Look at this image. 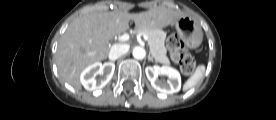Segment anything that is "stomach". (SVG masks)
Instances as JSON below:
<instances>
[{
    "mask_svg": "<svg viewBox=\"0 0 276 120\" xmlns=\"http://www.w3.org/2000/svg\"><path fill=\"white\" fill-rule=\"evenodd\" d=\"M174 25L178 35L187 42L191 48H196L202 41L201 28L188 15H183L178 18Z\"/></svg>",
    "mask_w": 276,
    "mask_h": 120,
    "instance_id": "stomach-1",
    "label": "stomach"
}]
</instances>
